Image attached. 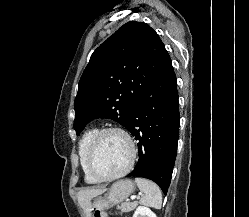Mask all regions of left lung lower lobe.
Wrapping results in <instances>:
<instances>
[{
    "instance_id": "left-lung-lower-lobe-1",
    "label": "left lung lower lobe",
    "mask_w": 249,
    "mask_h": 217,
    "mask_svg": "<svg viewBox=\"0 0 249 217\" xmlns=\"http://www.w3.org/2000/svg\"><path fill=\"white\" fill-rule=\"evenodd\" d=\"M179 123L176 76L169 58L131 112L127 129L138 140L139 159L127 177L150 179L167 193L176 158Z\"/></svg>"
}]
</instances>
